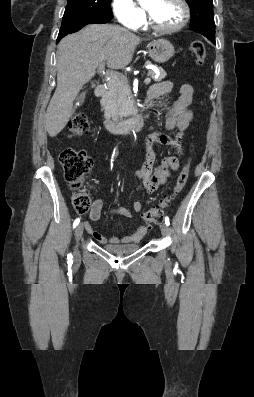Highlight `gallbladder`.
<instances>
[{"label":"gallbladder","mask_w":254,"mask_h":397,"mask_svg":"<svg viewBox=\"0 0 254 397\" xmlns=\"http://www.w3.org/2000/svg\"><path fill=\"white\" fill-rule=\"evenodd\" d=\"M92 87H94V85H92ZM84 98H85V93H82V94L78 97V101H79L80 103H82V102L84 101Z\"/></svg>","instance_id":"gallbladder-1"}]
</instances>
